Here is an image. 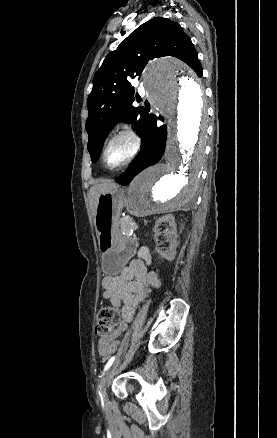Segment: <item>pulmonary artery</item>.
I'll use <instances>...</instances> for the list:
<instances>
[{
    "label": "pulmonary artery",
    "mask_w": 277,
    "mask_h": 438,
    "mask_svg": "<svg viewBox=\"0 0 277 438\" xmlns=\"http://www.w3.org/2000/svg\"><path fill=\"white\" fill-rule=\"evenodd\" d=\"M131 82H132V84L135 85V84H137L138 81L137 80H132Z\"/></svg>",
    "instance_id": "1"
}]
</instances>
